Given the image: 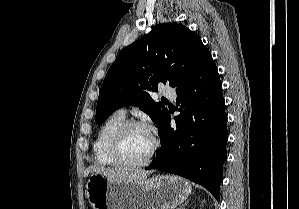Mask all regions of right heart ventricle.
<instances>
[{"mask_svg":"<svg viewBox=\"0 0 299 209\" xmlns=\"http://www.w3.org/2000/svg\"><path fill=\"white\" fill-rule=\"evenodd\" d=\"M125 122V115L113 113L101 126L93 144L94 157L97 163L115 166L110 156V143L116 130Z\"/></svg>","mask_w":299,"mask_h":209,"instance_id":"1","label":"right heart ventricle"}]
</instances>
